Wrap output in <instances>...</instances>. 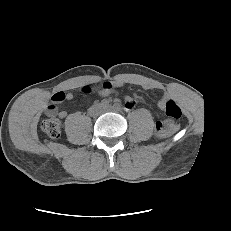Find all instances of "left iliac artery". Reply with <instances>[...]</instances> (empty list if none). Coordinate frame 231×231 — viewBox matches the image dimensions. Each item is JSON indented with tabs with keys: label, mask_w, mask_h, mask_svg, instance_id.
Segmentation results:
<instances>
[{
	"label": "left iliac artery",
	"mask_w": 231,
	"mask_h": 231,
	"mask_svg": "<svg viewBox=\"0 0 231 231\" xmlns=\"http://www.w3.org/2000/svg\"><path fill=\"white\" fill-rule=\"evenodd\" d=\"M114 107H115L116 109H121V106H120V104H118V103H116V104L114 105Z\"/></svg>",
	"instance_id": "1"
}]
</instances>
